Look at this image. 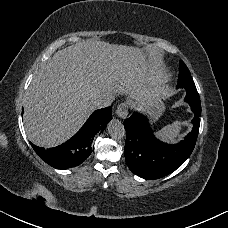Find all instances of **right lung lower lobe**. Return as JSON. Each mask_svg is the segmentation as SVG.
<instances>
[{
	"instance_id": "98d812e1",
	"label": "right lung lower lobe",
	"mask_w": 228,
	"mask_h": 228,
	"mask_svg": "<svg viewBox=\"0 0 228 228\" xmlns=\"http://www.w3.org/2000/svg\"><path fill=\"white\" fill-rule=\"evenodd\" d=\"M112 118V107L96 110L83 127L67 142L55 148L44 149L33 145L37 155L56 169L80 165L91 154L93 137L103 131Z\"/></svg>"
}]
</instances>
